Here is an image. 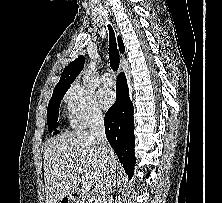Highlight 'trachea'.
<instances>
[{
    "instance_id": "3493384b",
    "label": "trachea",
    "mask_w": 222,
    "mask_h": 203,
    "mask_svg": "<svg viewBox=\"0 0 222 203\" xmlns=\"http://www.w3.org/2000/svg\"><path fill=\"white\" fill-rule=\"evenodd\" d=\"M109 29V60L110 66L113 71H117L120 63L119 53L116 45V39L114 30L111 25H108Z\"/></svg>"
}]
</instances>
